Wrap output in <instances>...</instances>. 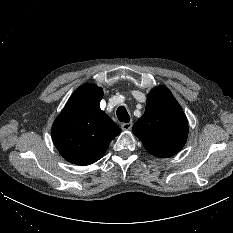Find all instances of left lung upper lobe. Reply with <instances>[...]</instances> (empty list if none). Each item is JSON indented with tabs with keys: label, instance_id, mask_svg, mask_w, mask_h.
Wrapping results in <instances>:
<instances>
[{
	"label": "left lung upper lobe",
	"instance_id": "1",
	"mask_svg": "<svg viewBox=\"0 0 233 233\" xmlns=\"http://www.w3.org/2000/svg\"><path fill=\"white\" fill-rule=\"evenodd\" d=\"M133 133L156 157H170L181 150L187 139L188 122L169 89L159 86L148 94L145 113L134 124Z\"/></svg>",
	"mask_w": 233,
	"mask_h": 233
}]
</instances>
